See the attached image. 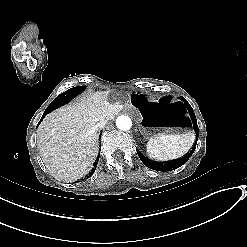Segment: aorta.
I'll list each match as a JSON object with an SVG mask.
<instances>
[{"label": "aorta", "instance_id": "762f6f07", "mask_svg": "<svg viewBox=\"0 0 247 247\" xmlns=\"http://www.w3.org/2000/svg\"><path fill=\"white\" fill-rule=\"evenodd\" d=\"M116 126L120 130L127 131L132 127V121L128 116L121 115L116 119Z\"/></svg>", "mask_w": 247, "mask_h": 247}]
</instances>
